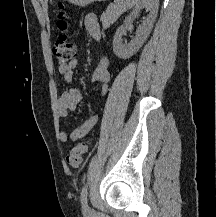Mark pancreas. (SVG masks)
Wrapping results in <instances>:
<instances>
[{
	"instance_id": "obj_1",
	"label": "pancreas",
	"mask_w": 216,
	"mask_h": 217,
	"mask_svg": "<svg viewBox=\"0 0 216 217\" xmlns=\"http://www.w3.org/2000/svg\"><path fill=\"white\" fill-rule=\"evenodd\" d=\"M125 11V4L123 0H114L106 11L101 15V22L104 29L110 27L118 17Z\"/></svg>"
}]
</instances>
